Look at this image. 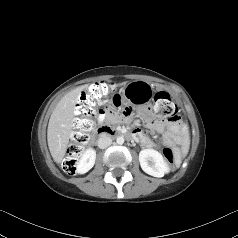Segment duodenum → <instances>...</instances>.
<instances>
[{"mask_svg":"<svg viewBox=\"0 0 238 238\" xmlns=\"http://www.w3.org/2000/svg\"><path fill=\"white\" fill-rule=\"evenodd\" d=\"M98 137H109V136H125L129 139L136 140L137 136L133 133L117 132L108 126H100L96 130Z\"/></svg>","mask_w":238,"mask_h":238,"instance_id":"410a0bca","label":"duodenum"}]
</instances>
